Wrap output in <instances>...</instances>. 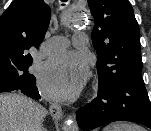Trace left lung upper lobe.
<instances>
[{"instance_id":"left-lung-upper-lobe-1","label":"left lung upper lobe","mask_w":151,"mask_h":131,"mask_svg":"<svg viewBox=\"0 0 151 131\" xmlns=\"http://www.w3.org/2000/svg\"><path fill=\"white\" fill-rule=\"evenodd\" d=\"M88 5L95 20L99 89H104L142 70L139 26L128 0H88Z\"/></svg>"}]
</instances>
